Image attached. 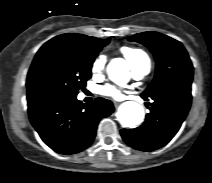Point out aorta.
<instances>
[{
  "label": "aorta",
  "instance_id": "obj_1",
  "mask_svg": "<svg viewBox=\"0 0 212 183\" xmlns=\"http://www.w3.org/2000/svg\"><path fill=\"white\" fill-rule=\"evenodd\" d=\"M107 71L109 77L114 80L119 75L127 74L129 65L124 59L115 58L108 64ZM117 117L122 126L133 128L143 121L144 110L138 103L127 101L119 107Z\"/></svg>",
  "mask_w": 212,
  "mask_h": 183
}]
</instances>
